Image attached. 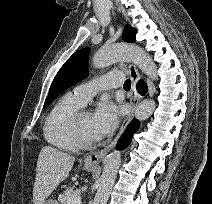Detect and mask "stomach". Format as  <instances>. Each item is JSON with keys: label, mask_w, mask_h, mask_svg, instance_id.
I'll list each match as a JSON object with an SVG mask.
<instances>
[{"label": "stomach", "mask_w": 212, "mask_h": 204, "mask_svg": "<svg viewBox=\"0 0 212 204\" xmlns=\"http://www.w3.org/2000/svg\"><path fill=\"white\" fill-rule=\"evenodd\" d=\"M85 169L87 171H91L94 169L93 166H85ZM43 204H58V202L56 200H53V199H48V200H45Z\"/></svg>", "instance_id": "stomach-1"}]
</instances>
